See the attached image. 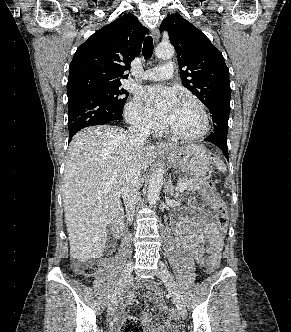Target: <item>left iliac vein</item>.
Segmentation results:
<instances>
[{"label":"left iliac vein","mask_w":291,"mask_h":332,"mask_svg":"<svg viewBox=\"0 0 291 332\" xmlns=\"http://www.w3.org/2000/svg\"><path fill=\"white\" fill-rule=\"evenodd\" d=\"M157 276L165 283L175 305L182 317L186 316V307L179 288L176 285L173 277L169 273L167 267L163 262H159V269L157 271Z\"/></svg>","instance_id":"obj_1"}]
</instances>
